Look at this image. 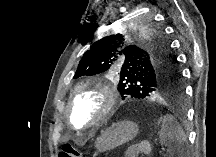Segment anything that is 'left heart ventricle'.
<instances>
[{
	"label": "left heart ventricle",
	"mask_w": 216,
	"mask_h": 157,
	"mask_svg": "<svg viewBox=\"0 0 216 157\" xmlns=\"http://www.w3.org/2000/svg\"><path fill=\"white\" fill-rule=\"evenodd\" d=\"M101 105L102 99L96 92L89 90L80 92L71 109L74 124L81 126L90 122Z\"/></svg>",
	"instance_id": "b2bd125f"
}]
</instances>
